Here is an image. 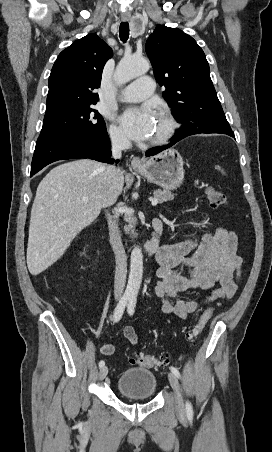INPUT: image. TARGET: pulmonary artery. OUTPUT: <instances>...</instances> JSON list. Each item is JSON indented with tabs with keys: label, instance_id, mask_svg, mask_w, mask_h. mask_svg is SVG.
Segmentation results:
<instances>
[{
	"label": "pulmonary artery",
	"instance_id": "obj_1",
	"mask_svg": "<svg viewBox=\"0 0 272 452\" xmlns=\"http://www.w3.org/2000/svg\"><path fill=\"white\" fill-rule=\"evenodd\" d=\"M154 91V82L150 77H141L130 83L120 94L119 100L123 102H141L149 98Z\"/></svg>",
	"mask_w": 272,
	"mask_h": 452
}]
</instances>
